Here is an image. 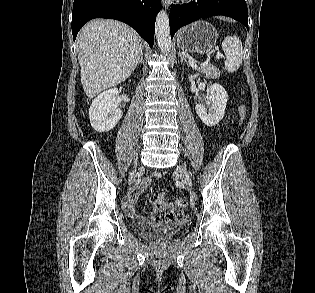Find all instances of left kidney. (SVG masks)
Wrapping results in <instances>:
<instances>
[{
    "instance_id": "left-kidney-1",
    "label": "left kidney",
    "mask_w": 315,
    "mask_h": 293,
    "mask_svg": "<svg viewBox=\"0 0 315 293\" xmlns=\"http://www.w3.org/2000/svg\"><path fill=\"white\" fill-rule=\"evenodd\" d=\"M209 98L208 101L211 104L209 110L205 109L204 104H197L195 107L196 113L200 120L207 126H215L218 124L225 113L228 94L223 86L215 83L207 88Z\"/></svg>"
}]
</instances>
